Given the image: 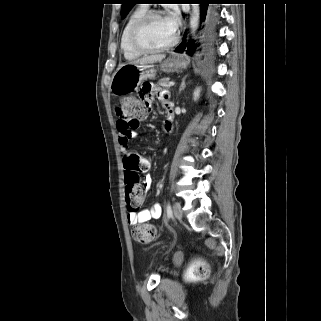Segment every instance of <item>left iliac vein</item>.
I'll return each mask as SVG.
<instances>
[{
  "label": "left iliac vein",
  "mask_w": 321,
  "mask_h": 321,
  "mask_svg": "<svg viewBox=\"0 0 321 321\" xmlns=\"http://www.w3.org/2000/svg\"><path fill=\"white\" fill-rule=\"evenodd\" d=\"M173 213L177 219H179V220L182 219L183 212H182V209H181V206L179 203L173 204Z\"/></svg>",
  "instance_id": "obj_1"
}]
</instances>
